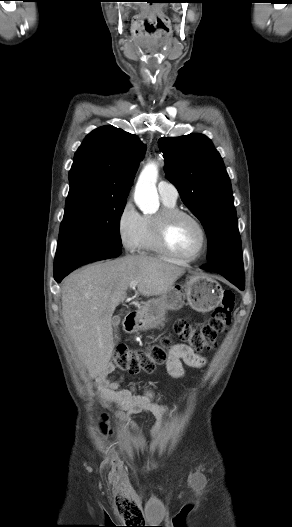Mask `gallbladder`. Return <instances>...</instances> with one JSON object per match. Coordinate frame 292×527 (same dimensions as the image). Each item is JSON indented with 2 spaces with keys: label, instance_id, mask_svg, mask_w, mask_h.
<instances>
[{
  "label": "gallbladder",
  "instance_id": "1",
  "mask_svg": "<svg viewBox=\"0 0 292 527\" xmlns=\"http://www.w3.org/2000/svg\"><path fill=\"white\" fill-rule=\"evenodd\" d=\"M120 320H121V319H120L119 316H114V317L112 318V326H113V328H114V332H115V333H117V329H118V325H119V323H120ZM116 337H117V335H116ZM117 338H118V337H117Z\"/></svg>",
  "mask_w": 292,
  "mask_h": 527
}]
</instances>
